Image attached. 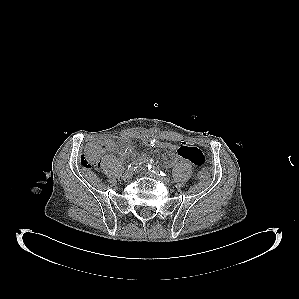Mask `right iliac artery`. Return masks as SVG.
<instances>
[{"mask_svg": "<svg viewBox=\"0 0 299 299\" xmlns=\"http://www.w3.org/2000/svg\"><path fill=\"white\" fill-rule=\"evenodd\" d=\"M142 164L141 160L134 161L128 166V170L135 171Z\"/></svg>", "mask_w": 299, "mask_h": 299, "instance_id": "right-iliac-artery-1", "label": "right iliac artery"}]
</instances>
